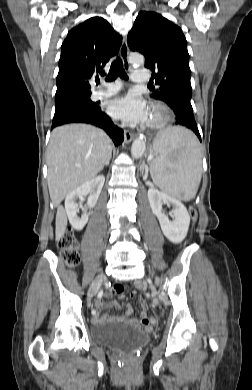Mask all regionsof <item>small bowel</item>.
Returning <instances> with one entry per match:
<instances>
[{"label": "small bowel", "instance_id": "c3829d8e", "mask_svg": "<svg viewBox=\"0 0 252 390\" xmlns=\"http://www.w3.org/2000/svg\"><path fill=\"white\" fill-rule=\"evenodd\" d=\"M114 293V290H109L106 295L110 296ZM120 298H123L124 295H119ZM140 304H141V311H140V320L132 317V306L127 305L126 306V313L123 315H115L110 316L108 314H101L100 311L103 308L109 307L113 309H117L119 307V304L116 301H112L110 303H104V302H97L96 303V312L95 315L92 316V319L94 322H100V321H114L119 323H125L130 325L133 328L136 329H149L150 325L154 323V319L148 316V307L147 303L144 299L140 298Z\"/></svg>", "mask_w": 252, "mask_h": 390}]
</instances>
